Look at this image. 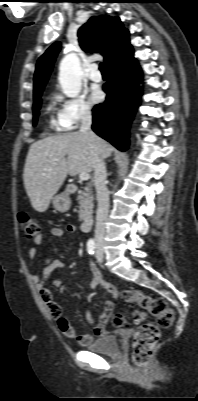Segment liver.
I'll use <instances>...</instances> for the list:
<instances>
[{
	"mask_svg": "<svg viewBox=\"0 0 198 401\" xmlns=\"http://www.w3.org/2000/svg\"><path fill=\"white\" fill-rule=\"evenodd\" d=\"M111 146L80 132L54 135L34 142L28 151L23 181L32 207L45 212L67 175L90 173L97 157L110 155Z\"/></svg>",
	"mask_w": 198,
	"mask_h": 401,
	"instance_id": "liver-1",
	"label": "liver"
}]
</instances>
